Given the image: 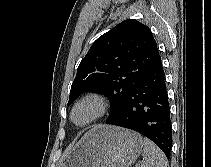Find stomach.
<instances>
[{"label":"stomach","instance_id":"0dacf381","mask_svg":"<svg viewBox=\"0 0 211 167\" xmlns=\"http://www.w3.org/2000/svg\"><path fill=\"white\" fill-rule=\"evenodd\" d=\"M142 149L143 139L137 132L99 125L66 153L59 167H130Z\"/></svg>","mask_w":211,"mask_h":167}]
</instances>
